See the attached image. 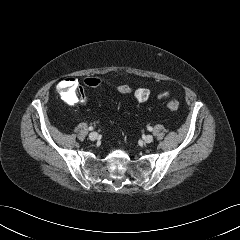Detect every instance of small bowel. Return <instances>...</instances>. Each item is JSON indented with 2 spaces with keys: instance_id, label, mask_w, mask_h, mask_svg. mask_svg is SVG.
Masks as SVG:
<instances>
[{
  "instance_id": "small-bowel-1",
  "label": "small bowel",
  "mask_w": 240,
  "mask_h": 240,
  "mask_svg": "<svg viewBox=\"0 0 240 240\" xmlns=\"http://www.w3.org/2000/svg\"><path fill=\"white\" fill-rule=\"evenodd\" d=\"M82 90V89H81ZM82 92H83V90H82ZM83 94H84V92H83ZM70 98H74L75 99V91L74 92H70V93H68L67 94ZM79 101L80 102H84L85 101V95H84V97H82V96H80V98H79Z\"/></svg>"
}]
</instances>
